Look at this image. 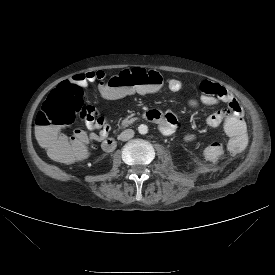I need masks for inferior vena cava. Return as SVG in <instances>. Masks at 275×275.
I'll use <instances>...</instances> for the list:
<instances>
[{"instance_id": "inferior-vena-cava-1", "label": "inferior vena cava", "mask_w": 275, "mask_h": 275, "mask_svg": "<svg viewBox=\"0 0 275 275\" xmlns=\"http://www.w3.org/2000/svg\"><path fill=\"white\" fill-rule=\"evenodd\" d=\"M134 136V131L132 129L124 130L119 136L118 139L121 141H127Z\"/></svg>"}]
</instances>
